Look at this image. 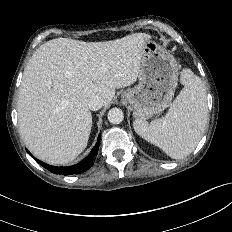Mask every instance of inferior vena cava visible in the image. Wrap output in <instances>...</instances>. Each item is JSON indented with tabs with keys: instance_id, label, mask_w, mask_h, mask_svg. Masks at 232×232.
I'll use <instances>...</instances> for the list:
<instances>
[{
	"instance_id": "obj_1",
	"label": "inferior vena cava",
	"mask_w": 232,
	"mask_h": 232,
	"mask_svg": "<svg viewBox=\"0 0 232 232\" xmlns=\"http://www.w3.org/2000/svg\"><path fill=\"white\" fill-rule=\"evenodd\" d=\"M102 106H103V99L100 96L94 95L89 98L88 107L91 110L93 111L99 110Z\"/></svg>"
}]
</instances>
